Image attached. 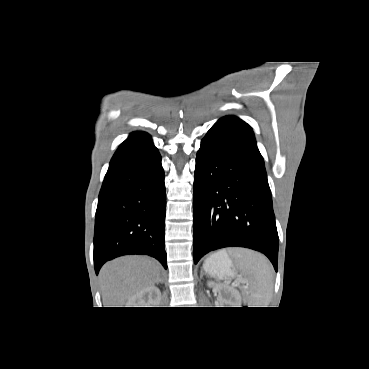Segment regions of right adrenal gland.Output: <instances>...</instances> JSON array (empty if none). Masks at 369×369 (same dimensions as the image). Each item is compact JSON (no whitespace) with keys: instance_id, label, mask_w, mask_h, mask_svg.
Masks as SVG:
<instances>
[{"instance_id":"obj_1","label":"right adrenal gland","mask_w":369,"mask_h":369,"mask_svg":"<svg viewBox=\"0 0 369 369\" xmlns=\"http://www.w3.org/2000/svg\"><path fill=\"white\" fill-rule=\"evenodd\" d=\"M163 283V279L160 277L159 279H158V281L156 282V284H158V283Z\"/></svg>"}]
</instances>
